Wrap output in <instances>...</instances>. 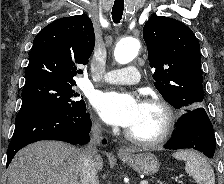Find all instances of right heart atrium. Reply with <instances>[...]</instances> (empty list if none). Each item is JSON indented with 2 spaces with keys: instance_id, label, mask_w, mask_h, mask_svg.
<instances>
[{
  "instance_id": "obj_1",
  "label": "right heart atrium",
  "mask_w": 224,
  "mask_h": 184,
  "mask_svg": "<svg viewBox=\"0 0 224 184\" xmlns=\"http://www.w3.org/2000/svg\"><path fill=\"white\" fill-rule=\"evenodd\" d=\"M94 124L96 125V126H99V122L98 121H94Z\"/></svg>"
}]
</instances>
